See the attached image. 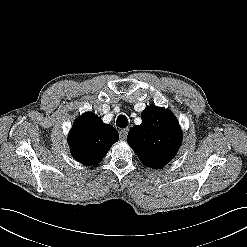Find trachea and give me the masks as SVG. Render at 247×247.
I'll list each match as a JSON object with an SVG mask.
<instances>
[{"instance_id":"3493384b","label":"trachea","mask_w":247,"mask_h":247,"mask_svg":"<svg viewBox=\"0 0 247 247\" xmlns=\"http://www.w3.org/2000/svg\"><path fill=\"white\" fill-rule=\"evenodd\" d=\"M116 125L120 128H125L128 126V118L125 115H119L116 120Z\"/></svg>"}]
</instances>
